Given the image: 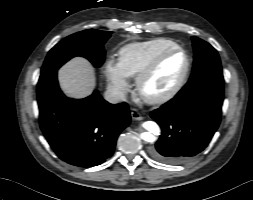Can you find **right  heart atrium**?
Here are the masks:
<instances>
[{"mask_svg":"<svg viewBox=\"0 0 253 200\" xmlns=\"http://www.w3.org/2000/svg\"><path fill=\"white\" fill-rule=\"evenodd\" d=\"M104 75L112 94L118 99L124 98L130 90V83L117 60L112 57L106 60Z\"/></svg>","mask_w":253,"mask_h":200,"instance_id":"d8ad5b80","label":"right heart atrium"}]
</instances>
